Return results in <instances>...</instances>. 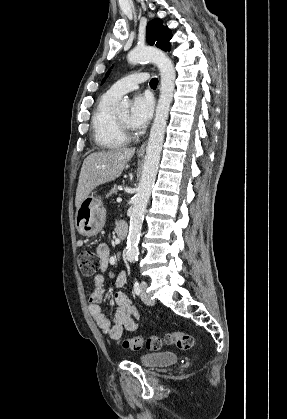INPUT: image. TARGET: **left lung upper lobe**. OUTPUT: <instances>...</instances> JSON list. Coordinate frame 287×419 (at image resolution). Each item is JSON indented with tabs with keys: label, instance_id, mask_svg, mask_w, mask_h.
Listing matches in <instances>:
<instances>
[{
	"label": "left lung upper lobe",
	"instance_id": "obj_1",
	"mask_svg": "<svg viewBox=\"0 0 287 419\" xmlns=\"http://www.w3.org/2000/svg\"><path fill=\"white\" fill-rule=\"evenodd\" d=\"M146 38L147 42L150 45H156L158 48L164 51L171 50L170 39L172 38V33L170 29L166 26H163V21L161 19H153L150 21L146 28ZM110 70L106 74L102 83L105 81L106 77L109 75Z\"/></svg>",
	"mask_w": 287,
	"mask_h": 419
}]
</instances>
